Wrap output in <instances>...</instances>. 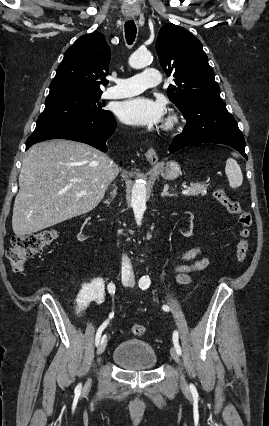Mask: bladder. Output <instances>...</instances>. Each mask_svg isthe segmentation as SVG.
<instances>
[{
  "label": "bladder",
  "mask_w": 269,
  "mask_h": 426,
  "mask_svg": "<svg viewBox=\"0 0 269 426\" xmlns=\"http://www.w3.org/2000/svg\"><path fill=\"white\" fill-rule=\"evenodd\" d=\"M112 361L124 371L147 372L156 368L158 358L154 349L147 342L139 339H127L120 341L115 346Z\"/></svg>",
  "instance_id": "1"
}]
</instances>
